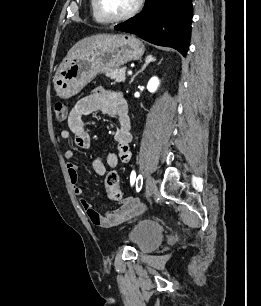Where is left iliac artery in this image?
I'll list each match as a JSON object with an SVG mask.
<instances>
[{
	"instance_id": "left-iliac-artery-1",
	"label": "left iliac artery",
	"mask_w": 261,
	"mask_h": 306,
	"mask_svg": "<svg viewBox=\"0 0 261 306\" xmlns=\"http://www.w3.org/2000/svg\"><path fill=\"white\" fill-rule=\"evenodd\" d=\"M135 178H136V173H135V171H132L131 175H130V183H131V185L134 184ZM142 184H143V178H142L141 175H139L137 177V179H136V190H137V192H139L141 190Z\"/></svg>"
}]
</instances>
